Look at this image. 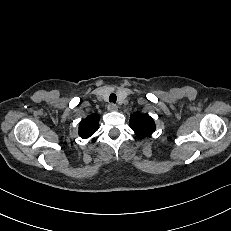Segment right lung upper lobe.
<instances>
[{"instance_id": "1", "label": "right lung upper lobe", "mask_w": 231, "mask_h": 231, "mask_svg": "<svg viewBox=\"0 0 231 231\" xmlns=\"http://www.w3.org/2000/svg\"><path fill=\"white\" fill-rule=\"evenodd\" d=\"M99 120L100 117L95 114L82 120L79 124V135L84 139L92 136L98 130Z\"/></svg>"}]
</instances>
